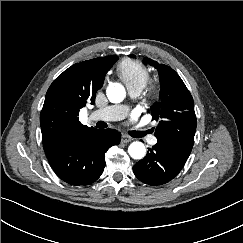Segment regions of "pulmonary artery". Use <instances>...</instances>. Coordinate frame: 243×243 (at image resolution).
Masks as SVG:
<instances>
[{"mask_svg": "<svg viewBox=\"0 0 243 243\" xmlns=\"http://www.w3.org/2000/svg\"><path fill=\"white\" fill-rule=\"evenodd\" d=\"M141 90L137 88L129 89L130 95L134 98L140 94ZM129 113V107L122 104L111 105L102 109L94 111L90 115L92 120H103V121H116L125 118ZM143 131V130H142ZM148 141L150 144H156L157 139L154 136H149Z\"/></svg>", "mask_w": 243, "mask_h": 243, "instance_id": "1", "label": "pulmonary artery"}]
</instances>
